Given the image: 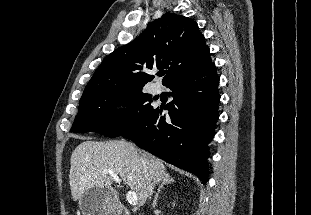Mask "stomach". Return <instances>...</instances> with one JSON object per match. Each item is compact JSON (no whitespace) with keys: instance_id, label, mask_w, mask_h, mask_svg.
<instances>
[{"instance_id":"0dacf381","label":"stomach","mask_w":311,"mask_h":215,"mask_svg":"<svg viewBox=\"0 0 311 215\" xmlns=\"http://www.w3.org/2000/svg\"><path fill=\"white\" fill-rule=\"evenodd\" d=\"M79 208L83 215H115L118 206L112 188L93 187L83 193Z\"/></svg>"}]
</instances>
